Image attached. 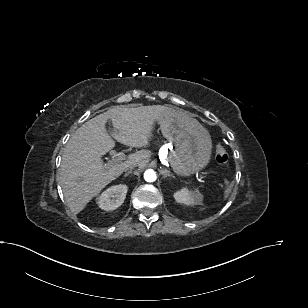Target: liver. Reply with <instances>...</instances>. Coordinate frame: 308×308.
Returning a JSON list of instances; mask_svg holds the SVG:
<instances>
[{
	"mask_svg": "<svg viewBox=\"0 0 308 308\" xmlns=\"http://www.w3.org/2000/svg\"><path fill=\"white\" fill-rule=\"evenodd\" d=\"M171 110L163 105L115 106L75 131L63 150L59 172L66 203L74 214L81 212L92 198L130 166L144 167L148 163L149 151L141 150L129 155L125 162L103 164L101 157L115 146L106 129L107 120L111 119L112 135L118 142L135 148L148 147L155 121Z\"/></svg>",
	"mask_w": 308,
	"mask_h": 308,
	"instance_id": "6515ba94",
	"label": "liver"
}]
</instances>
